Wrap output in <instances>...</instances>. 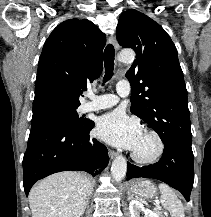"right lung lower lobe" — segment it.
Returning <instances> with one entry per match:
<instances>
[{"mask_svg": "<svg viewBox=\"0 0 211 217\" xmlns=\"http://www.w3.org/2000/svg\"><path fill=\"white\" fill-rule=\"evenodd\" d=\"M94 122L87 120L81 130L57 125L31 127L23 158L24 190L28 195L36 181L50 174L78 170L92 176L108 165L107 148L89 137Z\"/></svg>", "mask_w": 211, "mask_h": 217, "instance_id": "98d812e1", "label": "right lung lower lobe"}]
</instances>
